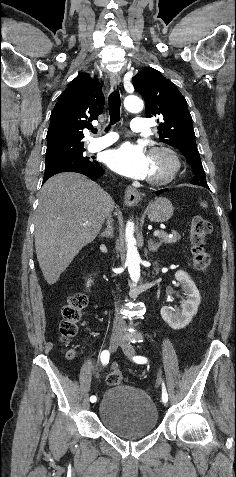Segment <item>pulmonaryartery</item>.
<instances>
[{"mask_svg": "<svg viewBox=\"0 0 236 477\" xmlns=\"http://www.w3.org/2000/svg\"><path fill=\"white\" fill-rule=\"evenodd\" d=\"M131 130L134 132H146L149 128L148 121L145 118H134L130 124ZM118 139V135L114 132H109L105 136L96 138L91 143V149L98 151L113 144Z\"/></svg>", "mask_w": 236, "mask_h": 477, "instance_id": "1", "label": "pulmonary artery"}]
</instances>
